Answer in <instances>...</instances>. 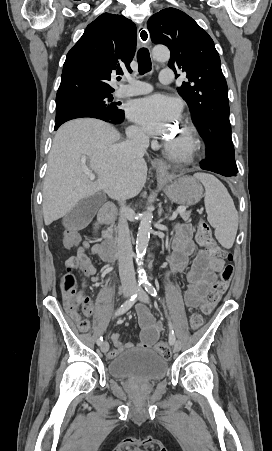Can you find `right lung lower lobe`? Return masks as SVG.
<instances>
[{
	"label": "right lung lower lobe",
	"mask_w": 272,
	"mask_h": 451,
	"mask_svg": "<svg viewBox=\"0 0 272 451\" xmlns=\"http://www.w3.org/2000/svg\"><path fill=\"white\" fill-rule=\"evenodd\" d=\"M82 117H91V118H97V119H101L104 120L106 122H110L112 124H121L124 121V116L120 119V120H112V119H108L106 117L103 116H99V115H94V114H90V113H78V114H73L70 115L64 119H61L59 121H56L55 124V130L58 129V127L63 124L66 121L72 120V119H76V118H82Z\"/></svg>",
	"instance_id": "obj_1"
}]
</instances>
